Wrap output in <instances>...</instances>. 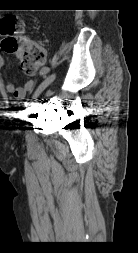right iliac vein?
Returning a JSON list of instances; mask_svg holds the SVG:
<instances>
[{
    "label": "right iliac vein",
    "mask_w": 138,
    "mask_h": 253,
    "mask_svg": "<svg viewBox=\"0 0 138 253\" xmlns=\"http://www.w3.org/2000/svg\"><path fill=\"white\" fill-rule=\"evenodd\" d=\"M55 79V75L52 74L49 77H47L36 89L35 93L33 96H31V99L37 98L41 92L47 87L49 86Z\"/></svg>",
    "instance_id": "63e3f726"
}]
</instances>
